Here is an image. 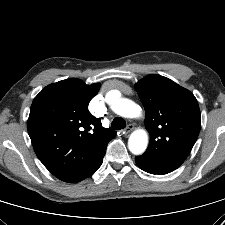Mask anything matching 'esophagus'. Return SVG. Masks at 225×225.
<instances>
[{"instance_id": "34e87169", "label": "esophagus", "mask_w": 225, "mask_h": 225, "mask_svg": "<svg viewBox=\"0 0 225 225\" xmlns=\"http://www.w3.org/2000/svg\"><path fill=\"white\" fill-rule=\"evenodd\" d=\"M134 130V125L133 124H129L126 129L125 132L128 134L130 132H132Z\"/></svg>"}]
</instances>
